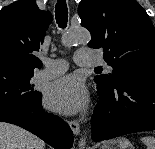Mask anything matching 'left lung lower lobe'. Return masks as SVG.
Masks as SVG:
<instances>
[{
	"label": "left lung lower lobe",
	"mask_w": 155,
	"mask_h": 149,
	"mask_svg": "<svg viewBox=\"0 0 155 149\" xmlns=\"http://www.w3.org/2000/svg\"><path fill=\"white\" fill-rule=\"evenodd\" d=\"M92 140L155 130V71L134 72L114 85L98 83Z\"/></svg>",
	"instance_id": "0a47b994"
}]
</instances>
